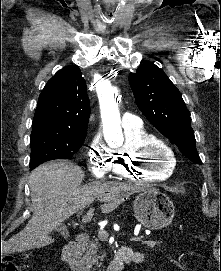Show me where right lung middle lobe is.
<instances>
[{"instance_id":"1","label":"right lung middle lobe","mask_w":221,"mask_h":271,"mask_svg":"<svg viewBox=\"0 0 221 271\" xmlns=\"http://www.w3.org/2000/svg\"><path fill=\"white\" fill-rule=\"evenodd\" d=\"M87 133H58L35 131L31 133V170L53 159H70L82 146Z\"/></svg>"}]
</instances>
